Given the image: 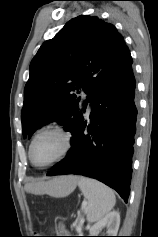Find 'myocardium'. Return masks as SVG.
Returning a JSON list of instances; mask_svg holds the SVG:
<instances>
[{"instance_id": "f54148a6", "label": "myocardium", "mask_w": 158, "mask_h": 237, "mask_svg": "<svg viewBox=\"0 0 158 237\" xmlns=\"http://www.w3.org/2000/svg\"><path fill=\"white\" fill-rule=\"evenodd\" d=\"M49 132H53V133L60 135L61 138L63 139L64 146H63V149L60 152V154L57 157H55L53 160H51L48 163H45L43 165H38L33 160L32 149H33L36 139L40 135H42L44 133H49ZM71 147H72L71 135L63 126L58 125V124L48 125V126L43 127L42 129H40L39 131H37L35 133V135L32 137L30 145H29V150H28L29 160L34 167H36L38 169H45V168H48V167L56 164L57 162L61 161L63 158H65L66 155L71 150Z\"/></svg>"}]
</instances>
